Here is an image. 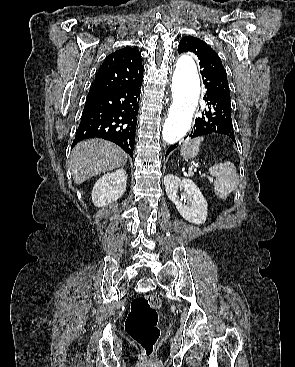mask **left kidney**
Wrapping results in <instances>:
<instances>
[{
	"instance_id": "left-kidney-1",
	"label": "left kidney",
	"mask_w": 295,
	"mask_h": 367,
	"mask_svg": "<svg viewBox=\"0 0 295 367\" xmlns=\"http://www.w3.org/2000/svg\"><path fill=\"white\" fill-rule=\"evenodd\" d=\"M164 185L167 197L185 220L196 225L205 223L208 204L192 180H181L173 174H167ZM178 188L184 189L181 199L177 196Z\"/></svg>"
}]
</instances>
